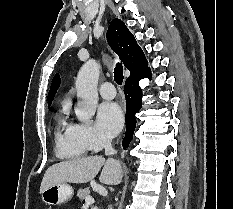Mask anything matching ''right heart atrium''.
<instances>
[{"label": "right heart atrium", "mask_w": 233, "mask_h": 209, "mask_svg": "<svg viewBox=\"0 0 233 209\" xmlns=\"http://www.w3.org/2000/svg\"><path fill=\"white\" fill-rule=\"evenodd\" d=\"M72 131L75 140L87 150L98 151L109 144L91 125L76 123Z\"/></svg>", "instance_id": "d8ad5b80"}]
</instances>
